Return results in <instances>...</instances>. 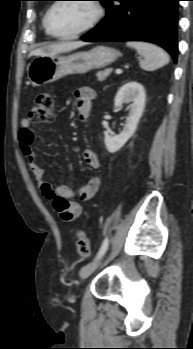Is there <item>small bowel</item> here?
I'll return each instance as SVG.
<instances>
[{
    "instance_id": "c3829d8e",
    "label": "small bowel",
    "mask_w": 193,
    "mask_h": 349,
    "mask_svg": "<svg viewBox=\"0 0 193 349\" xmlns=\"http://www.w3.org/2000/svg\"><path fill=\"white\" fill-rule=\"evenodd\" d=\"M74 97L78 114L84 120L90 114L95 91L90 87H80L75 90ZM34 139L35 136L30 127V122L28 119H24L19 131V145L22 154L27 159L29 169L42 193L52 202L61 219L67 222L73 221L82 213V206L75 198H78L80 201L92 199L100 189L101 180L98 176H93L76 191L63 184L54 186L45 179V171L40 166L32 147ZM83 160L91 169H98L100 166L97 154L90 148L84 150Z\"/></svg>"
}]
</instances>
